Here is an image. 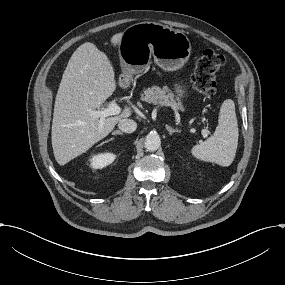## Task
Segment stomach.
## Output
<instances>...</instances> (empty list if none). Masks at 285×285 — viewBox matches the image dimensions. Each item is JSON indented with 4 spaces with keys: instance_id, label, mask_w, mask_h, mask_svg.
<instances>
[{
    "instance_id": "obj_1",
    "label": "stomach",
    "mask_w": 285,
    "mask_h": 285,
    "mask_svg": "<svg viewBox=\"0 0 285 285\" xmlns=\"http://www.w3.org/2000/svg\"><path fill=\"white\" fill-rule=\"evenodd\" d=\"M190 54L191 43L183 32L156 22L129 26L118 43L123 81L147 69L151 56L163 70L174 71L184 66ZM175 91L178 100L185 93L179 85H175Z\"/></svg>"
}]
</instances>
